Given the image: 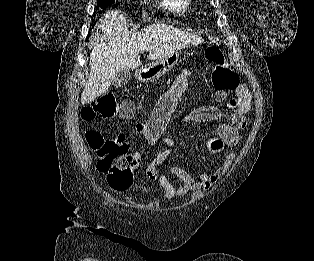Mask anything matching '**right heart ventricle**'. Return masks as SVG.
Returning a JSON list of instances; mask_svg holds the SVG:
<instances>
[{"mask_svg":"<svg viewBox=\"0 0 314 261\" xmlns=\"http://www.w3.org/2000/svg\"><path fill=\"white\" fill-rule=\"evenodd\" d=\"M159 6L174 14H184L192 8L193 0H159Z\"/></svg>","mask_w":314,"mask_h":261,"instance_id":"1","label":"right heart ventricle"}]
</instances>
